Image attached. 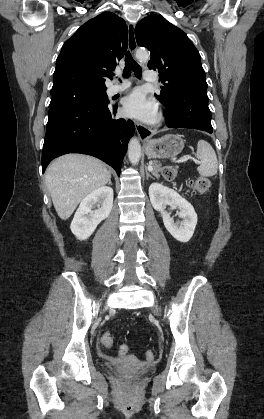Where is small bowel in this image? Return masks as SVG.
Returning <instances> with one entry per match:
<instances>
[{
    "label": "small bowel",
    "instance_id": "obj_1",
    "mask_svg": "<svg viewBox=\"0 0 264 419\" xmlns=\"http://www.w3.org/2000/svg\"><path fill=\"white\" fill-rule=\"evenodd\" d=\"M125 347V344H122L119 348H118V354H119V356H121V357H124V356H126L128 353H124L123 352V348Z\"/></svg>",
    "mask_w": 264,
    "mask_h": 419
}]
</instances>
